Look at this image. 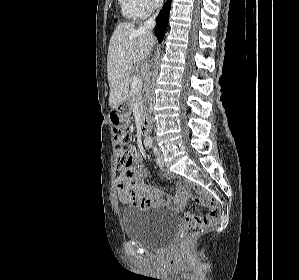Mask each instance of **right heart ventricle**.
<instances>
[{
	"instance_id": "1",
	"label": "right heart ventricle",
	"mask_w": 299,
	"mask_h": 280,
	"mask_svg": "<svg viewBox=\"0 0 299 280\" xmlns=\"http://www.w3.org/2000/svg\"><path fill=\"white\" fill-rule=\"evenodd\" d=\"M119 3L123 15L129 19H141L146 15L137 0H119Z\"/></svg>"
}]
</instances>
